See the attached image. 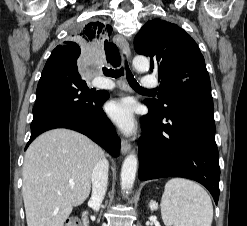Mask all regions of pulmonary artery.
<instances>
[{
  "mask_svg": "<svg viewBox=\"0 0 247 226\" xmlns=\"http://www.w3.org/2000/svg\"><path fill=\"white\" fill-rule=\"evenodd\" d=\"M158 81L150 76H147L142 81V87L146 89H155L158 87ZM98 86L103 89H113L115 88V84L109 80H103L101 81Z\"/></svg>",
  "mask_w": 247,
  "mask_h": 226,
  "instance_id": "obj_1",
  "label": "pulmonary artery"
}]
</instances>
